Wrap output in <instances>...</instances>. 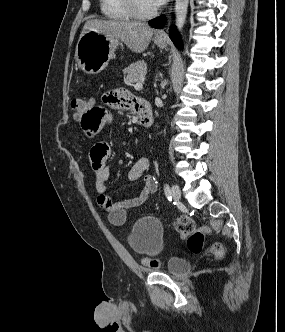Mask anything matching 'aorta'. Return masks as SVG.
<instances>
[{"instance_id":"obj_1","label":"aorta","mask_w":285,"mask_h":332,"mask_svg":"<svg viewBox=\"0 0 285 332\" xmlns=\"http://www.w3.org/2000/svg\"><path fill=\"white\" fill-rule=\"evenodd\" d=\"M188 2L189 0H176L175 2L176 26L180 32L186 21Z\"/></svg>"}]
</instances>
